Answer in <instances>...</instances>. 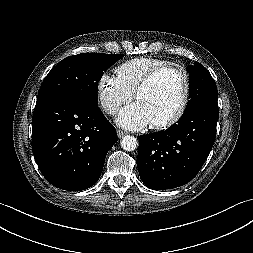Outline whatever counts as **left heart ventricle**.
I'll return each instance as SVG.
<instances>
[{"label": "left heart ventricle", "instance_id": "1", "mask_svg": "<svg viewBox=\"0 0 253 253\" xmlns=\"http://www.w3.org/2000/svg\"><path fill=\"white\" fill-rule=\"evenodd\" d=\"M181 96L182 81L179 75L167 72L158 77L136 101L146 109L151 121L157 122L171 117L178 110Z\"/></svg>", "mask_w": 253, "mask_h": 253}]
</instances>
